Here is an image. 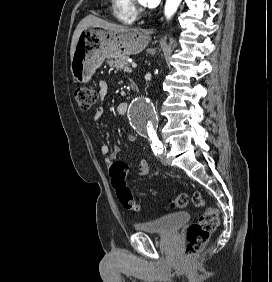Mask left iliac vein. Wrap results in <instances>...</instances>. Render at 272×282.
Here are the masks:
<instances>
[{
  "mask_svg": "<svg viewBox=\"0 0 272 282\" xmlns=\"http://www.w3.org/2000/svg\"><path fill=\"white\" fill-rule=\"evenodd\" d=\"M164 153H166V150L164 151ZM162 161L165 165H169V161L165 157H163Z\"/></svg>",
  "mask_w": 272,
  "mask_h": 282,
  "instance_id": "1",
  "label": "left iliac vein"
}]
</instances>
